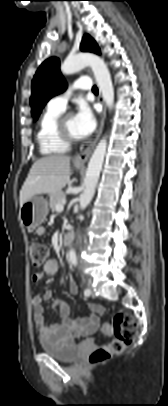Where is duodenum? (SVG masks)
<instances>
[{"label":"duodenum","instance_id":"410a0bca","mask_svg":"<svg viewBox=\"0 0 168 406\" xmlns=\"http://www.w3.org/2000/svg\"><path fill=\"white\" fill-rule=\"evenodd\" d=\"M75 238V233L72 229L67 230V232L64 234L62 238V243L64 245H70L74 241Z\"/></svg>","mask_w":168,"mask_h":406}]
</instances>
